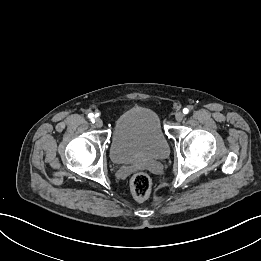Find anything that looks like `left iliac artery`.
<instances>
[{
  "instance_id": "left-iliac-artery-1",
  "label": "left iliac artery",
  "mask_w": 261,
  "mask_h": 261,
  "mask_svg": "<svg viewBox=\"0 0 261 261\" xmlns=\"http://www.w3.org/2000/svg\"><path fill=\"white\" fill-rule=\"evenodd\" d=\"M188 112H189L188 108H184V109H183V113H184V114H188Z\"/></svg>"
}]
</instances>
